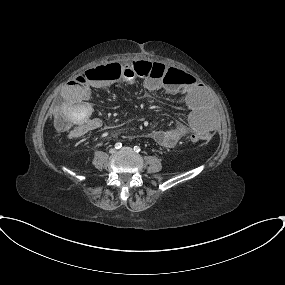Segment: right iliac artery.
Here are the masks:
<instances>
[{
  "instance_id": "right-iliac-artery-1",
  "label": "right iliac artery",
  "mask_w": 285,
  "mask_h": 285,
  "mask_svg": "<svg viewBox=\"0 0 285 285\" xmlns=\"http://www.w3.org/2000/svg\"><path fill=\"white\" fill-rule=\"evenodd\" d=\"M121 147H122V143L117 142V143L115 144V148H116V149H120Z\"/></svg>"
}]
</instances>
